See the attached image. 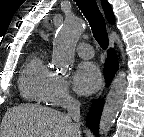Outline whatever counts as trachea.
Returning <instances> with one entry per match:
<instances>
[{"label":"trachea","mask_w":144,"mask_h":137,"mask_svg":"<svg viewBox=\"0 0 144 137\" xmlns=\"http://www.w3.org/2000/svg\"><path fill=\"white\" fill-rule=\"evenodd\" d=\"M76 3L87 18L93 32V36L102 49L108 47V34L103 15L95 0H76Z\"/></svg>","instance_id":"obj_1"}]
</instances>
